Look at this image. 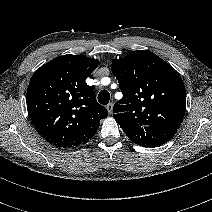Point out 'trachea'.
<instances>
[{
	"label": "trachea",
	"instance_id": "1",
	"mask_svg": "<svg viewBox=\"0 0 212 212\" xmlns=\"http://www.w3.org/2000/svg\"><path fill=\"white\" fill-rule=\"evenodd\" d=\"M109 100H110L109 92L107 90L100 91V93L98 94L99 103L102 105H107L109 103Z\"/></svg>",
	"mask_w": 212,
	"mask_h": 212
}]
</instances>
